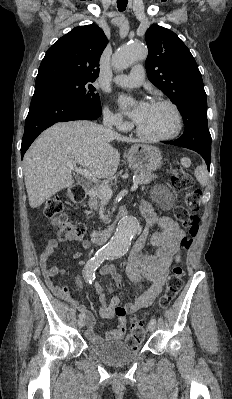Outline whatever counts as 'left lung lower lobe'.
Masks as SVG:
<instances>
[{"mask_svg":"<svg viewBox=\"0 0 232 399\" xmlns=\"http://www.w3.org/2000/svg\"><path fill=\"white\" fill-rule=\"evenodd\" d=\"M164 143L166 144H171V145H176V146H180V147H184V148H188L191 150L196 151L197 153H199L204 160L206 161L208 170L210 169V162H211V150H204V149H200L194 146H190V145H185V144H181L179 143L177 140L175 141H164Z\"/></svg>","mask_w":232,"mask_h":399,"instance_id":"obj_1","label":"left lung lower lobe"}]
</instances>
